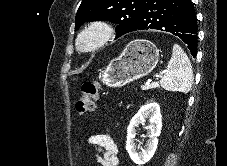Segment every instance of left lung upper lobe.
I'll return each instance as SVG.
<instances>
[{"instance_id":"5c2ea615","label":"left lung upper lobe","mask_w":227,"mask_h":166,"mask_svg":"<svg viewBox=\"0 0 227 166\" xmlns=\"http://www.w3.org/2000/svg\"><path fill=\"white\" fill-rule=\"evenodd\" d=\"M147 0H82L75 30L84 22L106 20L117 23L116 38L135 30Z\"/></svg>"}]
</instances>
